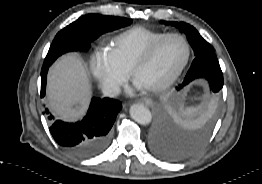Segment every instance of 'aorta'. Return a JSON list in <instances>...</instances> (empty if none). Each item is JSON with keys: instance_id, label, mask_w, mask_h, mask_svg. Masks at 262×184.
<instances>
[{"instance_id": "1", "label": "aorta", "mask_w": 262, "mask_h": 184, "mask_svg": "<svg viewBox=\"0 0 262 184\" xmlns=\"http://www.w3.org/2000/svg\"><path fill=\"white\" fill-rule=\"evenodd\" d=\"M129 112L131 118L141 125H148L152 120L150 110L143 104L131 105Z\"/></svg>"}]
</instances>
